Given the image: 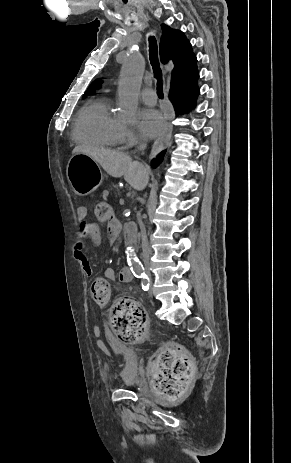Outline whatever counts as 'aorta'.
Masks as SVG:
<instances>
[{"instance_id": "aorta-1", "label": "aorta", "mask_w": 291, "mask_h": 463, "mask_svg": "<svg viewBox=\"0 0 291 463\" xmlns=\"http://www.w3.org/2000/svg\"><path fill=\"white\" fill-rule=\"evenodd\" d=\"M144 69L145 61L142 56L137 53L128 55L122 66L118 95L120 112L125 119L133 118L137 111L138 96ZM127 263L133 274L140 277L144 276V267L132 249H128L127 251Z\"/></svg>"}]
</instances>
